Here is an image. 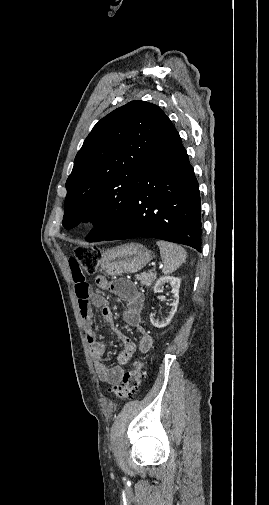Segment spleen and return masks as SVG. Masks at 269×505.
Listing matches in <instances>:
<instances>
[{"mask_svg": "<svg viewBox=\"0 0 269 505\" xmlns=\"http://www.w3.org/2000/svg\"><path fill=\"white\" fill-rule=\"evenodd\" d=\"M163 259V274H171L185 262L187 253L183 247L175 243L158 240L156 242Z\"/></svg>", "mask_w": 269, "mask_h": 505, "instance_id": "spleen-1", "label": "spleen"}]
</instances>
